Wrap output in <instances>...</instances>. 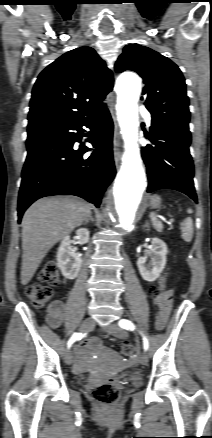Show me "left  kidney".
Segmentation results:
<instances>
[{
  "label": "left kidney",
  "mask_w": 212,
  "mask_h": 438,
  "mask_svg": "<svg viewBox=\"0 0 212 438\" xmlns=\"http://www.w3.org/2000/svg\"><path fill=\"white\" fill-rule=\"evenodd\" d=\"M166 254L167 246L165 242L159 238H153L150 263H146V257H140L137 260V267L144 280L153 282L160 276L166 264Z\"/></svg>",
  "instance_id": "5707ae66"
}]
</instances>
